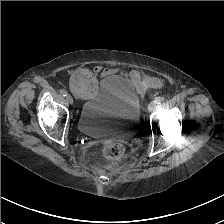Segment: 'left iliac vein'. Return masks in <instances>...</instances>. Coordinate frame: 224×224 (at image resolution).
<instances>
[{
    "label": "left iliac vein",
    "instance_id": "left-iliac-vein-1",
    "mask_svg": "<svg viewBox=\"0 0 224 224\" xmlns=\"http://www.w3.org/2000/svg\"><path fill=\"white\" fill-rule=\"evenodd\" d=\"M156 104H157V103H156L155 101L150 102L149 105H148V108H147L148 111H149V112L153 111L154 108L156 107Z\"/></svg>",
    "mask_w": 224,
    "mask_h": 224
}]
</instances>
